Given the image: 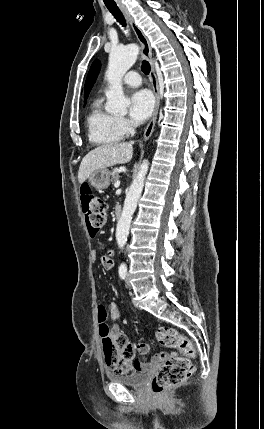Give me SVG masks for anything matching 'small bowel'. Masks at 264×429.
<instances>
[{"instance_id":"obj_1","label":"small bowel","mask_w":264,"mask_h":429,"mask_svg":"<svg viewBox=\"0 0 264 429\" xmlns=\"http://www.w3.org/2000/svg\"><path fill=\"white\" fill-rule=\"evenodd\" d=\"M103 247L99 246L96 250L92 251V257L95 259L97 256V251L102 250ZM101 264L105 270H111L114 267V259L112 252H107L101 257ZM99 307H104L103 305H99ZM97 309V314L98 310ZM105 309V307H104ZM106 311V309H105ZM107 317V313H106ZM123 318V312L121 308L117 304H112L110 306V319H111V325H108L106 323V320L104 324L99 323V335L102 339V345L104 344V341L111 337H116L121 335L120 329L117 325V321L121 320ZM137 351L142 355L140 357L133 358L129 363L126 364L125 370L127 371H145L149 367L153 365H157L163 360H165L169 355L166 353H162L160 355L154 356L150 362H148L143 355L147 354L150 351V346L146 343H139L136 346Z\"/></svg>"}]
</instances>
